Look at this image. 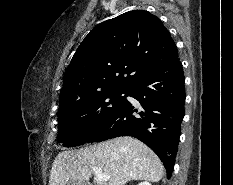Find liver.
Here are the masks:
<instances>
[{
    "label": "liver",
    "mask_w": 233,
    "mask_h": 185,
    "mask_svg": "<svg viewBox=\"0 0 233 185\" xmlns=\"http://www.w3.org/2000/svg\"><path fill=\"white\" fill-rule=\"evenodd\" d=\"M90 166L110 176L107 185H125L132 180L158 182L164 175L160 159L144 143L133 137H118L60 152L53 162L49 185L87 182L92 175Z\"/></svg>",
    "instance_id": "1"
}]
</instances>
